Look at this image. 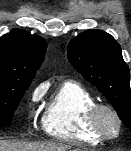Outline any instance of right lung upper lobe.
Returning <instances> with one entry per match:
<instances>
[{"label":"right lung upper lobe","instance_id":"right-lung-upper-lobe-1","mask_svg":"<svg viewBox=\"0 0 131 151\" xmlns=\"http://www.w3.org/2000/svg\"><path fill=\"white\" fill-rule=\"evenodd\" d=\"M46 41L38 35L14 29L0 38V83L30 84L41 66Z\"/></svg>","mask_w":131,"mask_h":151}]
</instances>
